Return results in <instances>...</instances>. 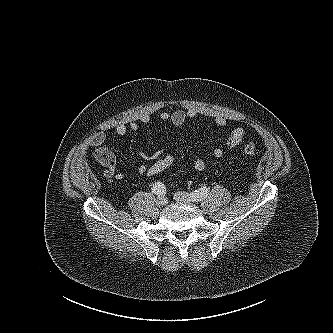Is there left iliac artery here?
Listing matches in <instances>:
<instances>
[{
	"instance_id": "obj_1",
	"label": "left iliac artery",
	"mask_w": 333,
	"mask_h": 333,
	"mask_svg": "<svg viewBox=\"0 0 333 333\" xmlns=\"http://www.w3.org/2000/svg\"><path fill=\"white\" fill-rule=\"evenodd\" d=\"M209 194V188L204 186L201 187L198 190H195L194 192L191 193V195L194 197L195 201H201L205 199Z\"/></svg>"
}]
</instances>
